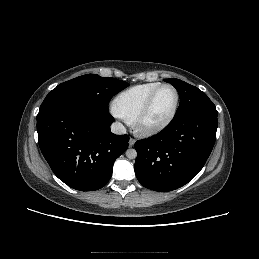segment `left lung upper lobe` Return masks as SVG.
<instances>
[{"label": "left lung upper lobe", "mask_w": 259, "mask_h": 259, "mask_svg": "<svg viewBox=\"0 0 259 259\" xmlns=\"http://www.w3.org/2000/svg\"><path fill=\"white\" fill-rule=\"evenodd\" d=\"M164 81L172 84L180 96V104L175 116L196 110L217 112L214 103L197 87L174 78L164 79Z\"/></svg>", "instance_id": "obj_1"}]
</instances>
